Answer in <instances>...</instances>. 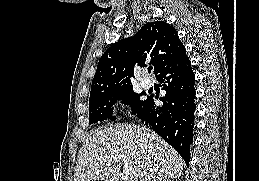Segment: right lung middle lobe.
<instances>
[{"mask_svg":"<svg viewBox=\"0 0 259 181\" xmlns=\"http://www.w3.org/2000/svg\"><path fill=\"white\" fill-rule=\"evenodd\" d=\"M143 95L133 91V87L119 88L98 94L89 99V124L101 122L106 119L115 120L113 116V105L122 100L125 105H130L132 114H136L141 110L146 100H141Z\"/></svg>","mask_w":259,"mask_h":181,"instance_id":"dd1d6c3e","label":"right lung middle lobe"}]
</instances>
